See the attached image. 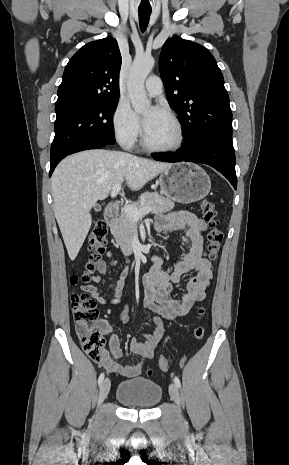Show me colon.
I'll list each match as a JSON object with an SVG mask.
<instances>
[{
  "label": "colon",
  "mask_w": 289,
  "mask_h": 465,
  "mask_svg": "<svg viewBox=\"0 0 289 465\" xmlns=\"http://www.w3.org/2000/svg\"><path fill=\"white\" fill-rule=\"evenodd\" d=\"M201 212L205 222L208 225L207 249L208 258L211 262L216 261L220 250L223 234L218 228V219L215 205L210 200H204L201 204ZM108 228L104 222H97L93 227L89 238V261L86 271L81 275H73L70 278L72 285L87 283L90 273L96 268V264L101 259V255L107 244ZM71 310L75 322V332L80 341L84 352L96 362H99L105 352V340L102 335V329L98 322V309L95 301L87 293H73L71 295ZM200 316L205 314V309L200 307L198 310ZM194 337L198 340L204 336L202 327H195L193 330ZM170 365L166 356L159 358V367L167 370ZM150 374L151 371H148Z\"/></svg>",
  "instance_id": "obj_1"
}]
</instances>
